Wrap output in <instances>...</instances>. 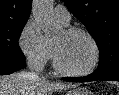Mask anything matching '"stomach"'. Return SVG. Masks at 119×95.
Segmentation results:
<instances>
[{
  "label": "stomach",
  "mask_w": 119,
  "mask_h": 95,
  "mask_svg": "<svg viewBox=\"0 0 119 95\" xmlns=\"http://www.w3.org/2000/svg\"><path fill=\"white\" fill-rule=\"evenodd\" d=\"M66 95H93V93L85 88H74L69 90Z\"/></svg>",
  "instance_id": "stomach-1"
}]
</instances>
